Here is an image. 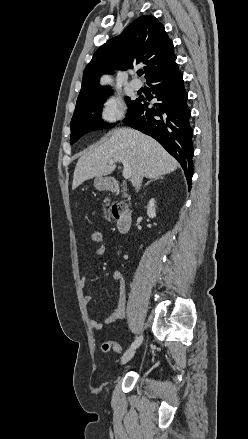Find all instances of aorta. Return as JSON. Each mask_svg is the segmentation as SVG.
<instances>
[{
    "label": "aorta",
    "instance_id": "aorta-1",
    "mask_svg": "<svg viewBox=\"0 0 248 439\" xmlns=\"http://www.w3.org/2000/svg\"><path fill=\"white\" fill-rule=\"evenodd\" d=\"M109 81H110V79H109V77H104L103 79H102V83L103 84H108L109 83Z\"/></svg>",
    "mask_w": 248,
    "mask_h": 439
}]
</instances>
